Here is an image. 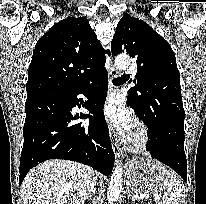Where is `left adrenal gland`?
Masks as SVG:
<instances>
[{
  "instance_id": "left-adrenal-gland-1",
  "label": "left adrenal gland",
  "mask_w": 206,
  "mask_h": 204,
  "mask_svg": "<svg viewBox=\"0 0 206 204\" xmlns=\"http://www.w3.org/2000/svg\"><path fill=\"white\" fill-rule=\"evenodd\" d=\"M126 193H127V196H128V197H131V198H132V200H134V198L131 196V193H130L129 187H126Z\"/></svg>"
}]
</instances>
